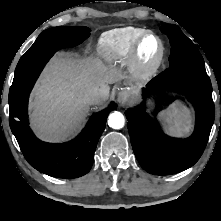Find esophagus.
Instances as JSON below:
<instances>
[{"instance_id": "obj_1", "label": "esophagus", "mask_w": 221, "mask_h": 221, "mask_svg": "<svg viewBox=\"0 0 221 221\" xmlns=\"http://www.w3.org/2000/svg\"><path fill=\"white\" fill-rule=\"evenodd\" d=\"M117 100L121 106L127 105L131 100L129 92L125 90L120 91Z\"/></svg>"}]
</instances>
